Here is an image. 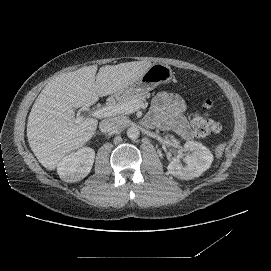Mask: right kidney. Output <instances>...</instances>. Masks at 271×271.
Masks as SVG:
<instances>
[{"instance_id":"1","label":"right kidney","mask_w":271,"mask_h":271,"mask_svg":"<svg viewBox=\"0 0 271 271\" xmlns=\"http://www.w3.org/2000/svg\"><path fill=\"white\" fill-rule=\"evenodd\" d=\"M95 151L82 147L75 153L65 156L57 165V173L65 182H77L85 178L94 163Z\"/></svg>"}]
</instances>
